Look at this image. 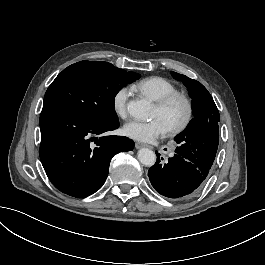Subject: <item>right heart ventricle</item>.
<instances>
[{
    "instance_id": "1",
    "label": "right heart ventricle",
    "mask_w": 265,
    "mask_h": 265,
    "mask_svg": "<svg viewBox=\"0 0 265 265\" xmlns=\"http://www.w3.org/2000/svg\"><path fill=\"white\" fill-rule=\"evenodd\" d=\"M130 87L135 92L149 97L154 102H158L162 98L177 92L176 86L161 76H149L138 79Z\"/></svg>"
}]
</instances>
